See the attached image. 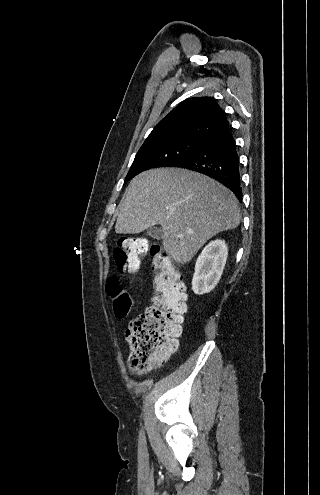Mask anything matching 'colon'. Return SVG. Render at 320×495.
I'll return each mask as SVG.
<instances>
[{"instance_id":"obj_1","label":"colon","mask_w":320,"mask_h":495,"mask_svg":"<svg viewBox=\"0 0 320 495\" xmlns=\"http://www.w3.org/2000/svg\"><path fill=\"white\" fill-rule=\"evenodd\" d=\"M151 253L155 295L146 311L131 320L125 338L130 346L128 365L136 374L146 373L159 366L178 345L186 312V294L178 272L168 257L146 238L122 237L117 241L114 256L121 273H134L143 258ZM118 318L126 317L132 307L129 293L116 278L107 283Z\"/></svg>"}]
</instances>
